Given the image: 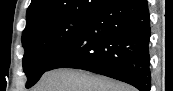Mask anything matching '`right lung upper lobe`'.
I'll return each instance as SVG.
<instances>
[{
  "instance_id": "cb5924a9",
  "label": "right lung upper lobe",
  "mask_w": 173,
  "mask_h": 91,
  "mask_svg": "<svg viewBox=\"0 0 173 91\" xmlns=\"http://www.w3.org/2000/svg\"><path fill=\"white\" fill-rule=\"evenodd\" d=\"M107 1L108 0H32L26 13V28L44 20L96 12Z\"/></svg>"
}]
</instances>
